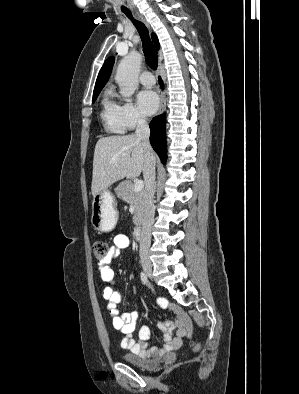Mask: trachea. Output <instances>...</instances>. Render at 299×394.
Wrapping results in <instances>:
<instances>
[{
	"label": "trachea",
	"instance_id": "obj_1",
	"mask_svg": "<svg viewBox=\"0 0 299 394\" xmlns=\"http://www.w3.org/2000/svg\"><path fill=\"white\" fill-rule=\"evenodd\" d=\"M122 12L133 22L142 39L143 52L145 54L147 65L152 69H157L158 56L153 43L150 40L148 29L143 23L135 20L130 11L123 10Z\"/></svg>",
	"mask_w": 299,
	"mask_h": 394
}]
</instances>
